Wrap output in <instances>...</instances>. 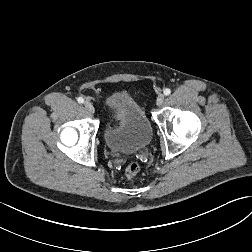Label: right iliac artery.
I'll return each mask as SVG.
<instances>
[{
    "mask_svg": "<svg viewBox=\"0 0 252 252\" xmlns=\"http://www.w3.org/2000/svg\"><path fill=\"white\" fill-rule=\"evenodd\" d=\"M77 101H78V103L82 104V103L84 102V99H83L82 97H79V98L77 99Z\"/></svg>",
    "mask_w": 252,
    "mask_h": 252,
    "instance_id": "right-iliac-artery-1",
    "label": "right iliac artery"
}]
</instances>
